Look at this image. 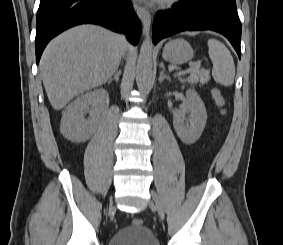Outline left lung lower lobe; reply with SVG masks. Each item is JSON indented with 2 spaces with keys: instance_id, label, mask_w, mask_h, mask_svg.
<instances>
[{
  "instance_id": "1",
  "label": "left lung lower lobe",
  "mask_w": 283,
  "mask_h": 245,
  "mask_svg": "<svg viewBox=\"0 0 283 245\" xmlns=\"http://www.w3.org/2000/svg\"><path fill=\"white\" fill-rule=\"evenodd\" d=\"M212 30L223 34L241 58V22L236 5L221 1L180 0L164 13L156 14L153 42L182 31Z\"/></svg>"
}]
</instances>
